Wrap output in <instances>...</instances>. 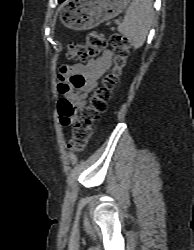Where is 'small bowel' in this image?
<instances>
[{"mask_svg":"<svg viewBox=\"0 0 194 250\" xmlns=\"http://www.w3.org/2000/svg\"><path fill=\"white\" fill-rule=\"evenodd\" d=\"M112 61V53L106 50L86 64L74 63L62 67L58 78V91L61 95L58 110L63 125H69L75 120L76 111L86 105L88 93L110 69ZM69 108L71 111H68Z\"/></svg>","mask_w":194,"mask_h":250,"instance_id":"obj_1","label":"small bowel"}]
</instances>
